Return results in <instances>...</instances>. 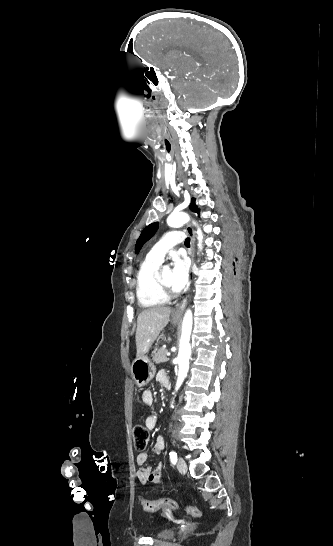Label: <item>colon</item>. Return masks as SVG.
Returning a JSON list of instances; mask_svg holds the SVG:
<instances>
[{"mask_svg":"<svg viewBox=\"0 0 333 546\" xmlns=\"http://www.w3.org/2000/svg\"><path fill=\"white\" fill-rule=\"evenodd\" d=\"M133 444L135 449L143 450L147 447L149 442V432L142 425H136L133 428ZM142 508L147 512H155L161 508L173 509V510H184L188 515L200 518L202 516V511L194 506L182 505L174 500L161 498L158 500H147L141 498L140 500Z\"/></svg>","mask_w":333,"mask_h":546,"instance_id":"colon-1","label":"colon"}]
</instances>
